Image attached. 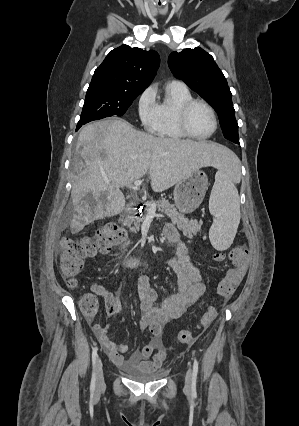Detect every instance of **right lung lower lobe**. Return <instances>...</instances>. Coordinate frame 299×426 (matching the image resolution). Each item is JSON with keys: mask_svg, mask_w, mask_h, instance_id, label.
<instances>
[{"mask_svg": "<svg viewBox=\"0 0 299 426\" xmlns=\"http://www.w3.org/2000/svg\"><path fill=\"white\" fill-rule=\"evenodd\" d=\"M88 122H90V121H88ZM87 121H83V122H78V125H77V128H76V130H78L82 125H84V124H86V123H88Z\"/></svg>", "mask_w": 299, "mask_h": 426, "instance_id": "1", "label": "right lung lower lobe"}]
</instances>
